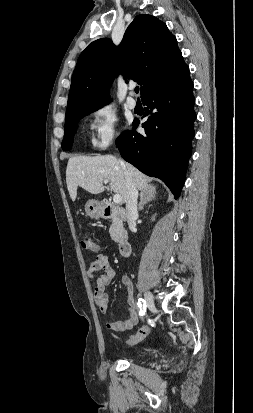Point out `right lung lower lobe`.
I'll use <instances>...</instances> for the list:
<instances>
[{"instance_id":"1","label":"right lung lower lobe","mask_w":253,"mask_h":413,"mask_svg":"<svg viewBox=\"0 0 253 413\" xmlns=\"http://www.w3.org/2000/svg\"><path fill=\"white\" fill-rule=\"evenodd\" d=\"M144 134L124 131L116 145L124 160L165 182L177 199L192 153L195 98L189 67L173 81L147 92ZM139 121H134L135 127Z\"/></svg>"}]
</instances>
